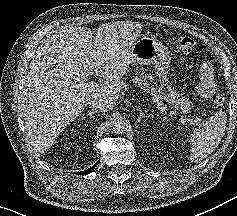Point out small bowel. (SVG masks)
Instances as JSON below:
<instances>
[{"label": "small bowel", "mask_w": 237, "mask_h": 216, "mask_svg": "<svg viewBox=\"0 0 237 216\" xmlns=\"http://www.w3.org/2000/svg\"><path fill=\"white\" fill-rule=\"evenodd\" d=\"M201 82L198 92L202 97H210L214 92V83L212 81V67L208 63H204L200 69Z\"/></svg>", "instance_id": "c3829d8e"}]
</instances>
